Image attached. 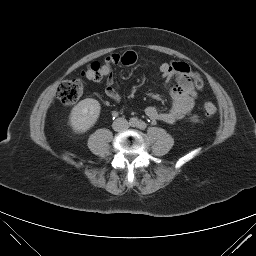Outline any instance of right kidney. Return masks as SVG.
<instances>
[{"label":"right kidney","mask_w":256,"mask_h":256,"mask_svg":"<svg viewBox=\"0 0 256 256\" xmlns=\"http://www.w3.org/2000/svg\"><path fill=\"white\" fill-rule=\"evenodd\" d=\"M100 103L92 98L80 101L70 113V125L77 133H84L94 126L100 115Z\"/></svg>","instance_id":"right-kidney-1"}]
</instances>
